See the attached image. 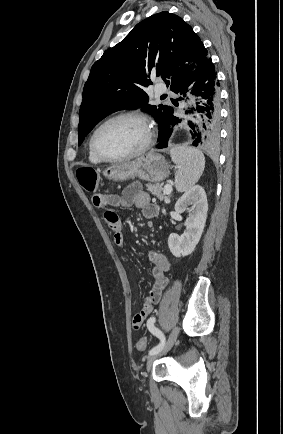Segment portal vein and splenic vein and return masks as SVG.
Segmentation results:
<instances>
[{"mask_svg":"<svg viewBox=\"0 0 283 434\" xmlns=\"http://www.w3.org/2000/svg\"><path fill=\"white\" fill-rule=\"evenodd\" d=\"M172 192V186L171 185H165L163 189V193L165 195H168ZM166 202H169L168 200Z\"/></svg>","mask_w":283,"mask_h":434,"instance_id":"portal-vein-and-splenic-vein-1","label":"portal vein and splenic vein"}]
</instances>
